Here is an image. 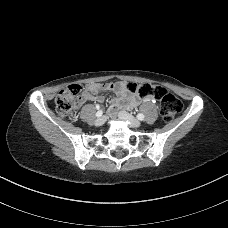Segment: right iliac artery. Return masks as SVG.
<instances>
[{
	"instance_id": "right-iliac-artery-1",
	"label": "right iliac artery",
	"mask_w": 228,
	"mask_h": 228,
	"mask_svg": "<svg viewBox=\"0 0 228 228\" xmlns=\"http://www.w3.org/2000/svg\"><path fill=\"white\" fill-rule=\"evenodd\" d=\"M103 114V111L102 110H98V112L96 113V116L97 117H101Z\"/></svg>"
}]
</instances>
